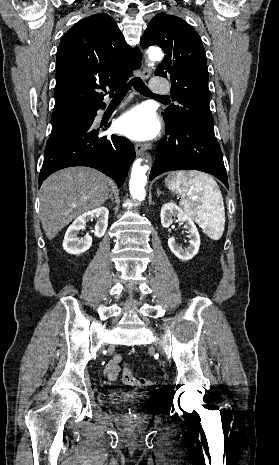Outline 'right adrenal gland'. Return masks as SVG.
<instances>
[{
	"instance_id": "2a0ac1e0",
	"label": "right adrenal gland",
	"mask_w": 279,
	"mask_h": 465,
	"mask_svg": "<svg viewBox=\"0 0 279 465\" xmlns=\"http://www.w3.org/2000/svg\"><path fill=\"white\" fill-rule=\"evenodd\" d=\"M108 199H111V201H113V195H112V192H111V190H110V194H109V196L107 197V200H108Z\"/></svg>"
}]
</instances>
